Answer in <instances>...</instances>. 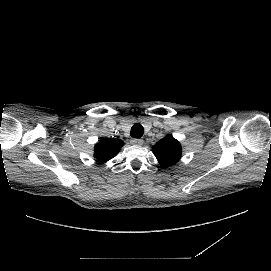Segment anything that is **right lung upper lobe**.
<instances>
[{
	"label": "right lung upper lobe",
	"mask_w": 271,
	"mask_h": 271,
	"mask_svg": "<svg viewBox=\"0 0 271 271\" xmlns=\"http://www.w3.org/2000/svg\"><path fill=\"white\" fill-rule=\"evenodd\" d=\"M123 145L119 139H103L95 147V157L99 162L105 163L117 155Z\"/></svg>",
	"instance_id": "1"
}]
</instances>
